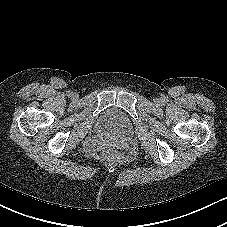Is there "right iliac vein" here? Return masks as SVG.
Masks as SVG:
<instances>
[{"instance_id": "63e3f726", "label": "right iliac vein", "mask_w": 227, "mask_h": 227, "mask_svg": "<svg viewBox=\"0 0 227 227\" xmlns=\"http://www.w3.org/2000/svg\"><path fill=\"white\" fill-rule=\"evenodd\" d=\"M72 97L73 98H77L78 97V94H76V93L75 94H72Z\"/></svg>"}]
</instances>
